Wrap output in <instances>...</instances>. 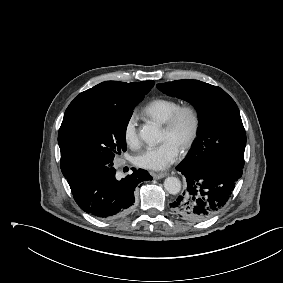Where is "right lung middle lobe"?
Listing matches in <instances>:
<instances>
[{
    "instance_id": "1",
    "label": "right lung middle lobe",
    "mask_w": 283,
    "mask_h": 283,
    "mask_svg": "<svg viewBox=\"0 0 283 283\" xmlns=\"http://www.w3.org/2000/svg\"><path fill=\"white\" fill-rule=\"evenodd\" d=\"M144 96L121 104L68 107L58 134L63 175L112 166L114 156L126 151V128Z\"/></svg>"
}]
</instances>
